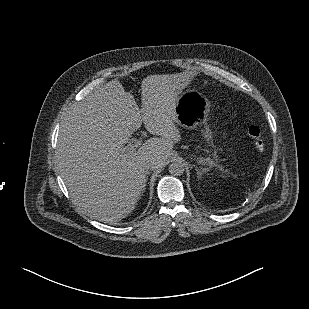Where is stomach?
Masks as SVG:
<instances>
[{
	"mask_svg": "<svg viewBox=\"0 0 309 309\" xmlns=\"http://www.w3.org/2000/svg\"><path fill=\"white\" fill-rule=\"evenodd\" d=\"M209 102L194 93L185 94L176 104L175 122L185 128L202 125L206 122L209 112Z\"/></svg>",
	"mask_w": 309,
	"mask_h": 309,
	"instance_id": "stomach-1",
	"label": "stomach"
}]
</instances>
